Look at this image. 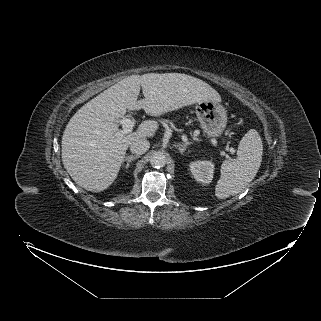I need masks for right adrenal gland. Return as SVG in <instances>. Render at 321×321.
<instances>
[{
  "instance_id": "obj_1",
  "label": "right adrenal gland",
  "mask_w": 321,
  "mask_h": 321,
  "mask_svg": "<svg viewBox=\"0 0 321 321\" xmlns=\"http://www.w3.org/2000/svg\"><path fill=\"white\" fill-rule=\"evenodd\" d=\"M139 157H140L139 155H135V156L130 155V156L125 157V158L123 159V161H122V166H123L124 162L126 161L127 163H126L125 168L128 169L129 166H130V163H131L133 160H135V159H137V158H139Z\"/></svg>"
}]
</instances>
